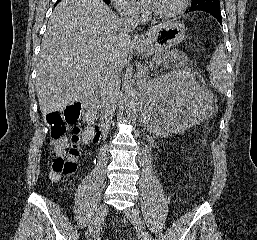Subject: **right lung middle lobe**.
<instances>
[{
	"instance_id": "right-lung-middle-lobe-1",
	"label": "right lung middle lobe",
	"mask_w": 257,
	"mask_h": 240,
	"mask_svg": "<svg viewBox=\"0 0 257 240\" xmlns=\"http://www.w3.org/2000/svg\"><path fill=\"white\" fill-rule=\"evenodd\" d=\"M105 2H110V0H104Z\"/></svg>"
}]
</instances>
